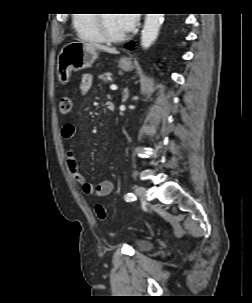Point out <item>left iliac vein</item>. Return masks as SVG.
I'll list each match as a JSON object with an SVG mask.
<instances>
[{"instance_id":"4c4485c4","label":"left iliac vein","mask_w":252,"mask_h":303,"mask_svg":"<svg viewBox=\"0 0 252 303\" xmlns=\"http://www.w3.org/2000/svg\"><path fill=\"white\" fill-rule=\"evenodd\" d=\"M135 193L141 198V201L143 204H147V199H146V189L143 187H137L135 189Z\"/></svg>"}]
</instances>
